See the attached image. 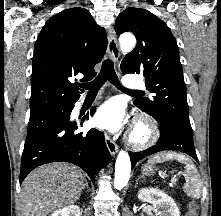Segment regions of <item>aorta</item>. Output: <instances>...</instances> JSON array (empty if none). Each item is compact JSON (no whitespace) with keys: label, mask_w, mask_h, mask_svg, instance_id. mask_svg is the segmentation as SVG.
<instances>
[{"label":"aorta","mask_w":221,"mask_h":216,"mask_svg":"<svg viewBox=\"0 0 221 216\" xmlns=\"http://www.w3.org/2000/svg\"><path fill=\"white\" fill-rule=\"evenodd\" d=\"M121 51L130 52L136 45V39L132 34H122L119 38ZM131 162L128 153L120 151L115 163L114 187L116 189L124 188L130 177Z\"/></svg>","instance_id":"1"}]
</instances>
